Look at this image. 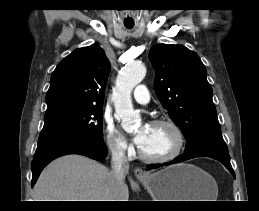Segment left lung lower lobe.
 Listing matches in <instances>:
<instances>
[{"instance_id": "1", "label": "left lung lower lobe", "mask_w": 259, "mask_h": 211, "mask_svg": "<svg viewBox=\"0 0 259 211\" xmlns=\"http://www.w3.org/2000/svg\"><path fill=\"white\" fill-rule=\"evenodd\" d=\"M195 157H210L215 160H218L230 171L233 177H235L234 170L230 164V156L228 154V148L224 149V148L211 147V146L200 147L178 156L173 161L169 163H165V165L183 162ZM160 166H161L160 164H151L147 166V169H154Z\"/></svg>"}]
</instances>
